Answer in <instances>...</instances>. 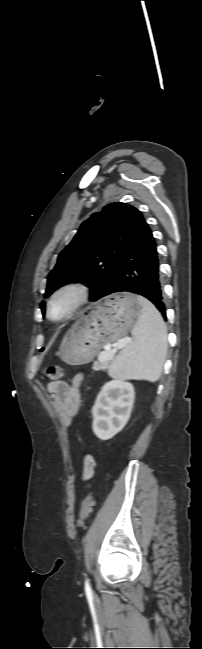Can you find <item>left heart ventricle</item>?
<instances>
[{"mask_svg":"<svg viewBox=\"0 0 202 649\" xmlns=\"http://www.w3.org/2000/svg\"><path fill=\"white\" fill-rule=\"evenodd\" d=\"M71 304V297L62 296L58 298L51 307L52 314L54 317H61L66 313Z\"/></svg>","mask_w":202,"mask_h":649,"instance_id":"b2bd125f","label":"left heart ventricle"}]
</instances>
